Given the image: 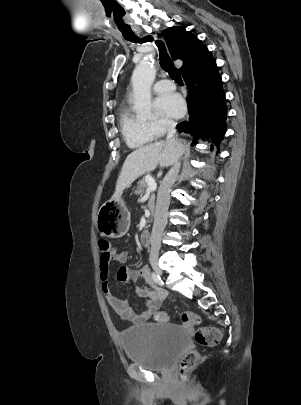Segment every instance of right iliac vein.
I'll list each match as a JSON object with an SVG mask.
<instances>
[{
  "instance_id": "right-iliac-vein-1",
  "label": "right iliac vein",
  "mask_w": 301,
  "mask_h": 405,
  "mask_svg": "<svg viewBox=\"0 0 301 405\" xmlns=\"http://www.w3.org/2000/svg\"><path fill=\"white\" fill-rule=\"evenodd\" d=\"M150 263L157 275H162V270L158 266V259L156 256L150 258Z\"/></svg>"
}]
</instances>
